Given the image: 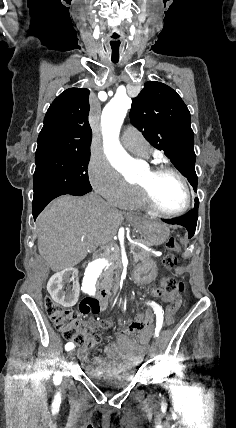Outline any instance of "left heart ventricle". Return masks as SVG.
Returning <instances> with one entry per match:
<instances>
[{
    "mask_svg": "<svg viewBox=\"0 0 236 428\" xmlns=\"http://www.w3.org/2000/svg\"><path fill=\"white\" fill-rule=\"evenodd\" d=\"M149 170L137 177H129L132 184L148 180ZM151 188L157 202L166 210H176L183 206L186 192L182 182L172 174H162L151 181Z\"/></svg>",
    "mask_w": 236,
    "mask_h": 428,
    "instance_id": "1",
    "label": "left heart ventricle"
}]
</instances>
